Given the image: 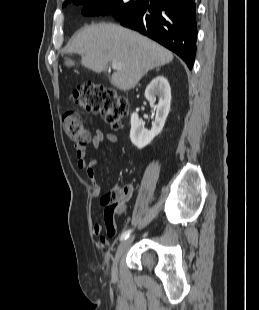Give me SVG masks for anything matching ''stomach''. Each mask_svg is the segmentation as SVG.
I'll use <instances>...</instances> for the list:
<instances>
[{
    "mask_svg": "<svg viewBox=\"0 0 259 310\" xmlns=\"http://www.w3.org/2000/svg\"><path fill=\"white\" fill-rule=\"evenodd\" d=\"M64 65L68 68H71L75 65V62L69 58H66L64 61Z\"/></svg>",
    "mask_w": 259,
    "mask_h": 310,
    "instance_id": "0dacf381",
    "label": "stomach"
}]
</instances>
